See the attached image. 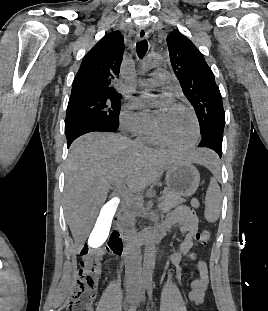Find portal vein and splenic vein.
Returning a JSON list of instances; mask_svg holds the SVG:
<instances>
[{"label":"portal vein and splenic vein","mask_w":268,"mask_h":311,"mask_svg":"<svg viewBox=\"0 0 268 311\" xmlns=\"http://www.w3.org/2000/svg\"><path fill=\"white\" fill-rule=\"evenodd\" d=\"M117 188L124 194V196H130V192L125 188V184L120 182L117 184Z\"/></svg>","instance_id":"obj_1"}]
</instances>
